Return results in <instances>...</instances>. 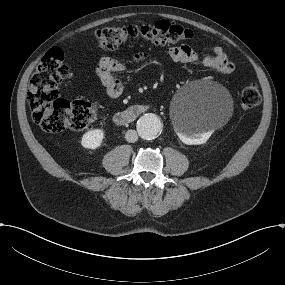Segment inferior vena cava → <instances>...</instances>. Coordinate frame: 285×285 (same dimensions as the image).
I'll return each mask as SVG.
<instances>
[{"label":"inferior vena cava","instance_id":"602c4592","mask_svg":"<svg viewBox=\"0 0 285 285\" xmlns=\"http://www.w3.org/2000/svg\"><path fill=\"white\" fill-rule=\"evenodd\" d=\"M125 138L128 142H136L138 141V134L136 130H128L125 134Z\"/></svg>","mask_w":285,"mask_h":285}]
</instances>
